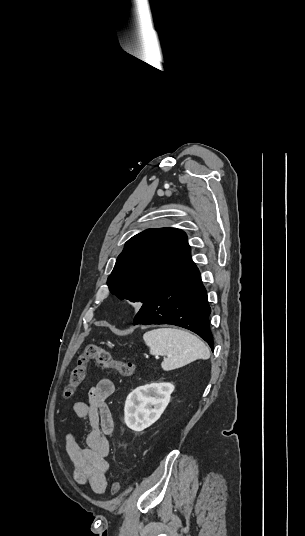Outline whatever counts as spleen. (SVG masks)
Listing matches in <instances>:
<instances>
[{"label":"spleen","instance_id":"obj_1","mask_svg":"<svg viewBox=\"0 0 305 536\" xmlns=\"http://www.w3.org/2000/svg\"><path fill=\"white\" fill-rule=\"evenodd\" d=\"M143 340L151 356H167L161 364V368L166 372L187 366L195 360L210 358V352L204 342L187 330L159 328V330L146 332Z\"/></svg>","mask_w":305,"mask_h":536}]
</instances>
